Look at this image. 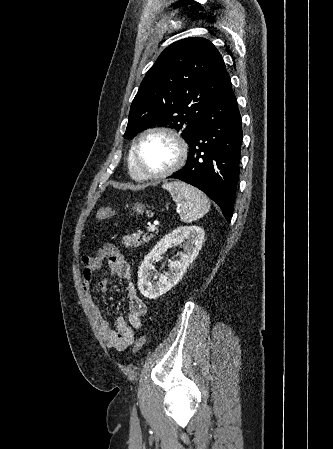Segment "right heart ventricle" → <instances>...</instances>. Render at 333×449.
Wrapping results in <instances>:
<instances>
[{
  "instance_id": "e07e8e85",
  "label": "right heart ventricle",
  "mask_w": 333,
  "mask_h": 449,
  "mask_svg": "<svg viewBox=\"0 0 333 449\" xmlns=\"http://www.w3.org/2000/svg\"><path fill=\"white\" fill-rule=\"evenodd\" d=\"M128 171L132 178H134L136 180H141L136 171V168H135L132 149L130 150L129 155H128Z\"/></svg>"
}]
</instances>
